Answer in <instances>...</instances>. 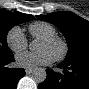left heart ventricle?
Returning <instances> with one entry per match:
<instances>
[{
	"label": "left heart ventricle",
	"mask_w": 89,
	"mask_h": 89,
	"mask_svg": "<svg viewBox=\"0 0 89 89\" xmlns=\"http://www.w3.org/2000/svg\"><path fill=\"white\" fill-rule=\"evenodd\" d=\"M36 49L38 51L47 50L53 57H55L61 51V45L59 43H48L42 40H39Z\"/></svg>",
	"instance_id": "1"
}]
</instances>
